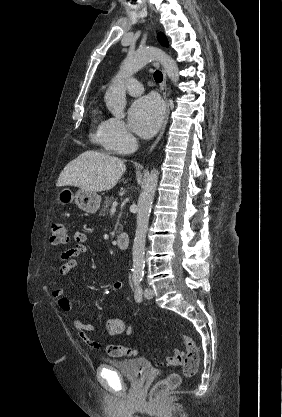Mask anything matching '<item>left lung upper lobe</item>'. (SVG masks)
<instances>
[{
	"label": "left lung upper lobe",
	"mask_w": 282,
	"mask_h": 417,
	"mask_svg": "<svg viewBox=\"0 0 282 417\" xmlns=\"http://www.w3.org/2000/svg\"><path fill=\"white\" fill-rule=\"evenodd\" d=\"M158 40L161 43V45L168 47L167 39L163 33L158 34Z\"/></svg>",
	"instance_id": "obj_1"
}]
</instances>
